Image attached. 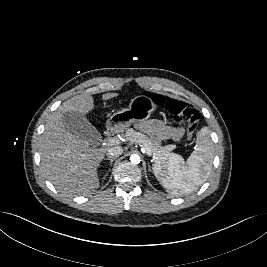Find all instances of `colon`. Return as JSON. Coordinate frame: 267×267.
Instances as JSON below:
<instances>
[{"instance_id": "colon-1", "label": "colon", "mask_w": 267, "mask_h": 267, "mask_svg": "<svg viewBox=\"0 0 267 267\" xmlns=\"http://www.w3.org/2000/svg\"><path fill=\"white\" fill-rule=\"evenodd\" d=\"M153 100L157 105L163 106L175 121L182 123L186 128L187 138L189 140L192 139L199 124V113L194 108L179 100L165 99L158 95L154 96Z\"/></svg>"}]
</instances>
